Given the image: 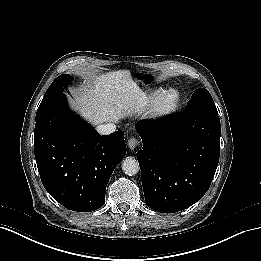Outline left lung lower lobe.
I'll list each match as a JSON object with an SVG mask.
<instances>
[{
	"mask_svg": "<svg viewBox=\"0 0 261 261\" xmlns=\"http://www.w3.org/2000/svg\"><path fill=\"white\" fill-rule=\"evenodd\" d=\"M143 148L137 152L145 202L174 213L196 203L209 189L220 155L218 112L188 109L164 125L139 121Z\"/></svg>",
	"mask_w": 261,
	"mask_h": 261,
	"instance_id": "left-lung-lower-lobe-1",
	"label": "left lung lower lobe"
}]
</instances>
